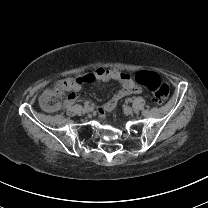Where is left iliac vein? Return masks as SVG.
Instances as JSON below:
<instances>
[{
  "mask_svg": "<svg viewBox=\"0 0 208 208\" xmlns=\"http://www.w3.org/2000/svg\"><path fill=\"white\" fill-rule=\"evenodd\" d=\"M123 110H124V113H125L126 115H131V114L133 113V109H132L130 106H127V105H125V106L123 107Z\"/></svg>",
  "mask_w": 208,
  "mask_h": 208,
  "instance_id": "left-iliac-vein-1",
  "label": "left iliac vein"
}]
</instances>
